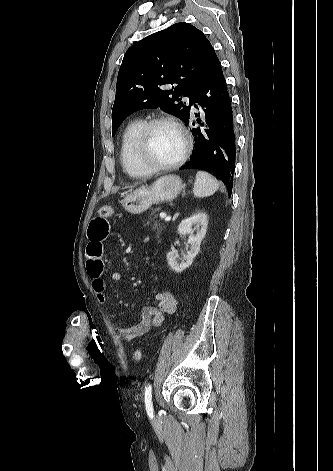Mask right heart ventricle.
<instances>
[{"label": "right heart ventricle", "mask_w": 333, "mask_h": 471, "mask_svg": "<svg viewBox=\"0 0 333 471\" xmlns=\"http://www.w3.org/2000/svg\"><path fill=\"white\" fill-rule=\"evenodd\" d=\"M144 123L143 120L135 118L126 124L121 134L119 159L125 173L132 178H142L150 174L137 163L135 157L137 136Z\"/></svg>", "instance_id": "right-heart-ventricle-1"}]
</instances>
